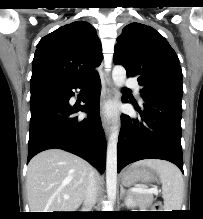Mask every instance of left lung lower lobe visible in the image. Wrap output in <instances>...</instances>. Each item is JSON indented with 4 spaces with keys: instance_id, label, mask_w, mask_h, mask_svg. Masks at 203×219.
<instances>
[{
    "instance_id": "1",
    "label": "left lung lower lobe",
    "mask_w": 203,
    "mask_h": 219,
    "mask_svg": "<svg viewBox=\"0 0 203 219\" xmlns=\"http://www.w3.org/2000/svg\"><path fill=\"white\" fill-rule=\"evenodd\" d=\"M140 108L132 103L141 119L121 116L117 171L142 159H162L174 163L183 172L181 146V98L166 94L142 95ZM123 102H128L125 96Z\"/></svg>"
}]
</instances>
